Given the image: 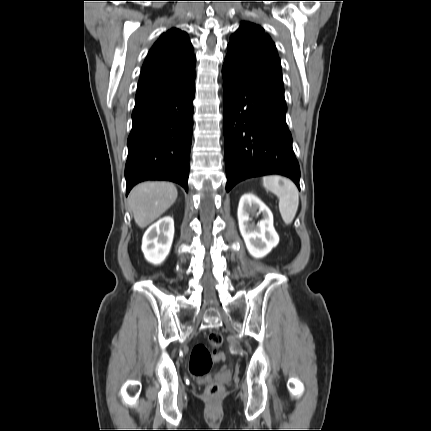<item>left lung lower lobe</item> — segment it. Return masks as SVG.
Returning <instances> with one entry per match:
<instances>
[{
    "mask_svg": "<svg viewBox=\"0 0 431 431\" xmlns=\"http://www.w3.org/2000/svg\"><path fill=\"white\" fill-rule=\"evenodd\" d=\"M222 75L227 192L240 181L268 174L289 177L300 189L285 99L228 72Z\"/></svg>",
    "mask_w": 431,
    "mask_h": 431,
    "instance_id": "obj_1",
    "label": "left lung lower lobe"
}]
</instances>
